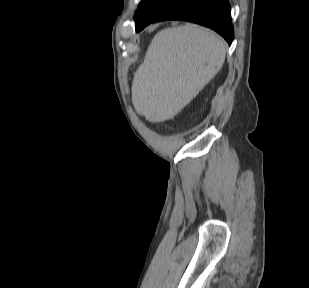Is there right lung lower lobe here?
<instances>
[{
	"instance_id": "98d812e1",
	"label": "right lung lower lobe",
	"mask_w": 309,
	"mask_h": 288,
	"mask_svg": "<svg viewBox=\"0 0 309 288\" xmlns=\"http://www.w3.org/2000/svg\"><path fill=\"white\" fill-rule=\"evenodd\" d=\"M163 20H185L201 24L218 32L229 45L233 41L231 7L228 0H179L160 12L151 22Z\"/></svg>"
}]
</instances>
